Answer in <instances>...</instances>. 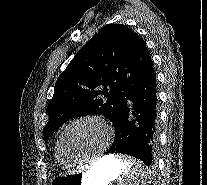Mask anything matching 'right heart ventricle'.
<instances>
[{"mask_svg":"<svg viewBox=\"0 0 207 185\" xmlns=\"http://www.w3.org/2000/svg\"><path fill=\"white\" fill-rule=\"evenodd\" d=\"M55 158L57 160V162L60 165H67V164H71V161L67 160L61 153L60 151V147H59V139L56 142L55 145Z\"/></svg>","mask_w":207,"mask_h":185,"instance_id":"obj_1","label":"right heart ventricle"}]
</instances>
